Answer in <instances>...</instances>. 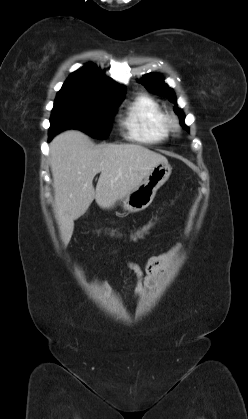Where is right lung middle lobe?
I'll use <instances>...</instances> for the list:
<instances>
[{"label":"right lung middle lobe","instance_id":"right-lung-middle-lobe-1","mask_svg":"<svg viewBox=\"0 0 248 419\" xmlns=\"http://www.w3.org/2000/svg\"><path fill=\"white\" fill-rule=\"evenodd\" d=\"M123 97L101 99L68 92H58L50 118L49 135L64 129H80L92 137L105 139L112 118Z\"/></svg>","mask_w":248,"mask_h":419}]
</instances>
